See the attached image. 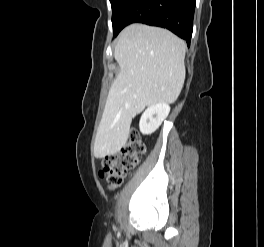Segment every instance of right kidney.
Masks as SVG:
<instances>
[{
  "mask_svg": "<svg viewBox=\"0 0 264 247\" xmlns=\"http://www.w3.org/2000/svg\"><path fill=\"white\" fill-rule=\"evenodd\" d=\"M170 112L167 103H157L149 106L141 116L139 128L142 134L150 135L155 132Z\"/></svg>",
  "mask_w": 264,
  "mask_h": 247,
  "instance_id": "1",
  "label": "right kidney"
}]
</instances>
